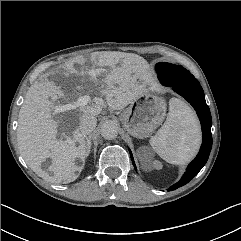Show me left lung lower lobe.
I'll use <instances>...</instances> for the list:
<instances>
[{"label":"left lung lower lobe","mask_w":241,"mask_h":241,"mask_svg":"<svg viewBox=\"0 0 241 241\" xmlns=\"http://www.w3.org/2000/svg\"><path fill=\"white\" fill-rule=\"evenodd\" d=\"M158 78L163 85L171 86L174 91L184 97L194 107L200 119L203 134V142L198 155L189 164L182 179L168 189V191H171L187 184L190 180H192L207 162L212 148V119L209 107L205 101L203 89L198 80L191 83L173 85L166 82L159 76ZM133 165L136 169L134 162Z\"/></svg>","instance_id":"0a47b994"}]
</instances>
